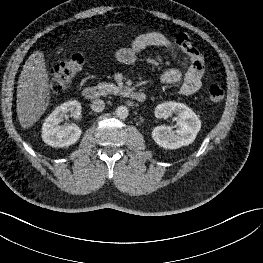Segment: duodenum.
Segmentation results:
<instances>
[{
	"label": "duodenum",
	"mask_w": 263,
	"mask_h": 263,
	"mask_svg": "<svg viewBox=\"0 0 263 263\" xmlns=\"http://www.w3.org/2000/svg\"><path fill=\"white\" fill-rule=\"evenodd\" d=\"M127 94L131 99H133L137 102H144L146 99V95L142 91H138V90H134V89H128ZM82 96L86 100H94L100 96V90L96 86H86L82 90Z\"/></svg>",
	"instance_id": "obj_1"
}]
</instances>
